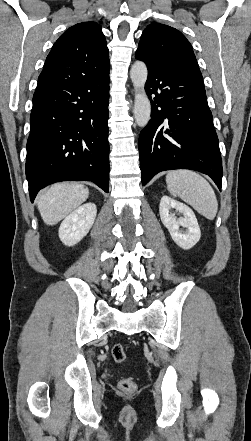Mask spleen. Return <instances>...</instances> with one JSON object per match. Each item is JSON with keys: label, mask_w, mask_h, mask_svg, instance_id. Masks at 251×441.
Returning a JSON list of instances; mask_svg holds the SVG:
<instances>
[{"label": "spleen", "mask_w": 251, "mask_h": 441, "mask_svg": "<svg viewBox=\"0 0 251 441\" xmlns=\"http://www.w3.org/2000/svg\"><path fill=\"white\" fill-rule=\"evenodd\" d=\"M167 189L174 197L181 198L208 220L217 214L215 192L206 179L194 171L174 170L166 175Z\"/></svg>", "instance_id": "spleen-1"}]
</instances>
